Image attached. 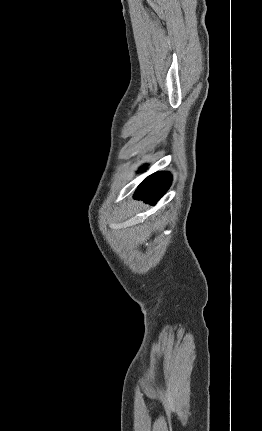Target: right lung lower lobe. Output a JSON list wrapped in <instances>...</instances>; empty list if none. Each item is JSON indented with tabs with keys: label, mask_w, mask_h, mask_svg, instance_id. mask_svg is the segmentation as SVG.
Listing matches in <instances>:
<instances>
[{
	"label": "right lung lower lobe",
	"mask_w": 262,
	"mask_h": 431,
	"mask_svg": "<svg viewBox=\"0 0 262 431\" xmlns=\"http://www.w3.org/2000/svg\"><path fill=\"white\" fill-rule=\"evenodd\" d=\"M143 170V169H141ZM172 177L168 172H158L146 178L135 192V199L155 205L171 184Z\"/></svg>",
	"instance_id": "98d812e1"
}]
</instances>
